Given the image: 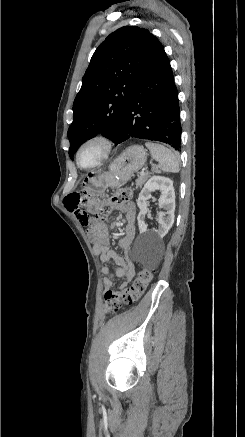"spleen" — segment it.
<instances>
[{
  "mask_svg": "<svg viewBox=\"0 0 245 437\" xmlns=\"http://www.w3.org/2000/svg\"><path fill=\"white\" fill-rule=\"evenodd\" d=\"M145 146L149 149L152 158L158 161L162 171L179 172L180 160L177 154L159 143L146 142Z\"/></svg>",
  "mask_w": 245,
  "mask_h": 437,
  "instance_id": "obj_1",
  "label": "spleen"
}]
</instances>
